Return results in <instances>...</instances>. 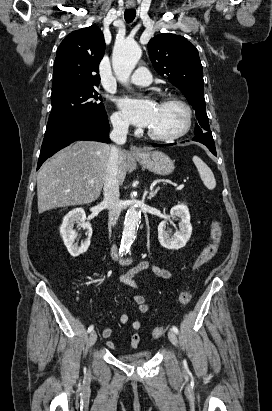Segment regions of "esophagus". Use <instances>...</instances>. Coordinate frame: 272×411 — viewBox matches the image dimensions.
<instances>
[{"instance_id":"obj_1","label":"esophagus","mask_w":272,"mask_h":411,"mask_svg":"<svg viewBox=\"0 0 272 411\" xmlns=\"http://www.w3.org/2000/svg\"><path fill=\"white\" fill-rule=\"evenodd\" d=\"M129 7H131V6H129ZM130 152L133 156L143 155V150L140 147H137V146H131Z\"/></svg>"}]
</instances>
